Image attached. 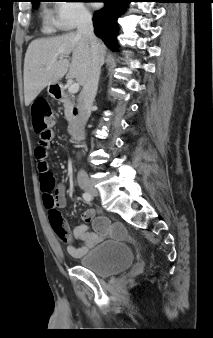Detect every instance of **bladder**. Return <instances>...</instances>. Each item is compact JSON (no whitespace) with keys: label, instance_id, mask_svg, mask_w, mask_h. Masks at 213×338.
<instances>
[{"label":"bladder","instance_id":"bladder-1","mask_svg":"<svg viewBox=\"0 0 213 338\" xmlns=\"http://www.w3.org/2000/svg\"><path fill=\"white\" fill-rule=\"evenodd\" d=\"M132 251L127 243L100 242L79 260L80 266L99 278L122 273L133 264Z\"/></svg>","mask_w":213,"mask_h":338}]
</instances>
